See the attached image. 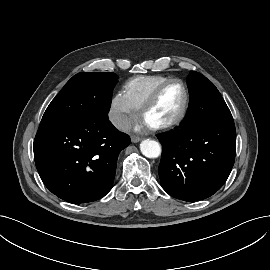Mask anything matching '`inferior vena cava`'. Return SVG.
<instances>
[{
	"mask_svg": "<svg viewBox=\"0 0 270 270\" xmlns=\"http://www.w3.org/2000/svg\"><path fill=\"white\" fill-rule=\"evenodd\" d=\"M111 121L118 130L127 131L131 127L130 119L124 114L112 115Z\"/></svg>",
	"mask_w": 270,
	"mask_h": 270,
	"instance_id": "obj_1",
	"label": "inferior vena cava"
}]
</instances>
